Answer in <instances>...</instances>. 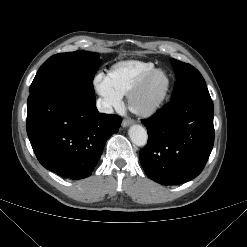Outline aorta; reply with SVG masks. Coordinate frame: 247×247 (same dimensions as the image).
<instances>
[{
  "instance_id": "obj_1",
  "label": "aorta",
  "mask_w": 247,
  "mask_h": 247,
  "mask_svg": "<svg viewBox=\"0 0 247 247\" xmlns=\"http://www.w3.org/2000/svg\"><path fill=\"white\" fill-rule=\"evenodd\" d=\"M131 142L139 147L145 146L148 140V134L141 125H132L128 131Z\"/></svg>"
}]
</instances>
